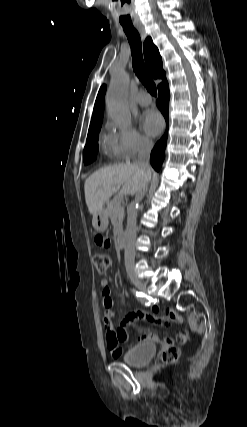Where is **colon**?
Listing matches in <instances>:
<instances>
[{"label": "colon", "instance_id": "5ec220e1", "mask_svg": "<svg viewBox=\"0 0 247 427\" xmlns=\"http://www.w3.org/2000/svg\"><path fill=\"white\" fill-rule=\"evenodd\" d=\"M93 263L99 273H105L110 266V258L106 254L98 253L94 255ZM178 356L179 350L175 347L166 348L162 354V358L166 362L175 361Z\"/></svg>", "mask_w": 247, "mask_h": 427}]
</instances>
